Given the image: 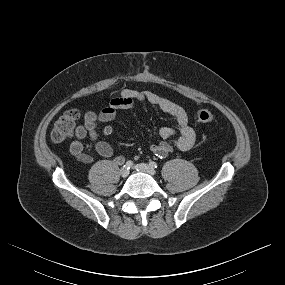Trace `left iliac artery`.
Here are the masks:
<instances>
[{"mask_svg":"<svg viewBox=\"0 0 285 285\" xmlns=\"http://www.w3.org/2000/svg\"><path fill=\"white\" fill-rule=\"evenodd\" d=\"M149 164H150V166L153 167V168H157V167H158L157 163L154 162V161H151Z\"/></svg>","mask_w":285,"mask_h":285,"instance_id":"left-iliac-artery-1","label":"left iliac artery"}]
</instances>
